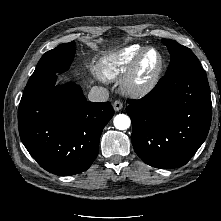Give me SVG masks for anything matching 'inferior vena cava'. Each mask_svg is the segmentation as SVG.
Wrapping results in <instances>:
<instances>
[{"label": "inferior vena cava", "mask_w": 221, "mask_h": 221, "mask_svg": "<svg viewBox=\"0 0 221 221\" xmlns=\"http://www.w3.org/2000/svg\"><path fill=\"white\" fill-rule=\"evenodd\" d=\"M109 98V91L100 86H93L88 94L89 101L105 102Z\"/></svg>", "instance_id": "inferior-vena-cava-1"}]
</instances>
